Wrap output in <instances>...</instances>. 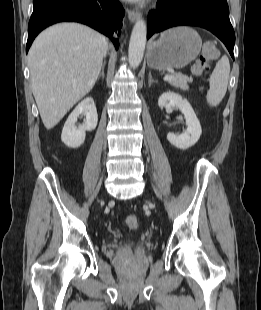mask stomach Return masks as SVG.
Listing matches in <instances>:
<instances>
[{"mask_svg":"<svg viewBox=\"0 0 261 310\" xmlns=\"http://www.w3.org/2000/svg\"><path fill=\"white\" fill-rule=\"evenodd\" d=\"M201 46V37L194 29H168L149 46V66L159 70L181 69L198 56Z\"/></svg>","mask_w":261,"mask_h":310,"instance_id":"1","label":"stomach"}]
</instances>
